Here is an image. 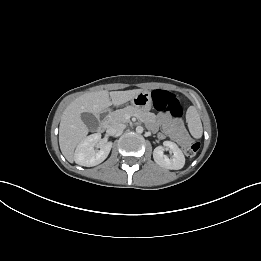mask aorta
I'll return each instance as SVG.
<instances>
[{"label":"aorta","instance_id":"obj_1","mask_svg":"<svg viewBox=\"0 0 261 261\" xmlns=\"http://www.w3.org/2000/svg\"><path fill=\"white\" fill-rule=\"evenodd\" d=\"M136 132L137 133H142L143 132V127L142 126H137L136 127Z\"/></svg>","mask_w":261,"mask_h":261}]
</instances>
